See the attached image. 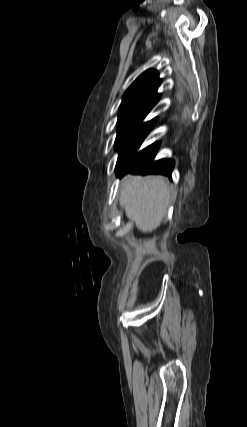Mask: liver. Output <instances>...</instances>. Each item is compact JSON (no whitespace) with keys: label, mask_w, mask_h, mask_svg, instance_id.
Wrapping results in <instances>:
<instances>
[{"label":"liver","mask_w":247,"mask_h":427,"mask_svg":"<svg viewBox=\"0 0 247 427\" xmlns=\"http://www.w3.org/2000/svg\"><path fill=\"white\" fill-rule=\"evenodd\" d=\"M172 198L163 176L128 175L122 180L120 205L142 232H152L160 226Z\"/></svg>","instance_id":"liver-1"}]
</instances>
